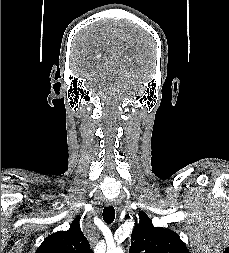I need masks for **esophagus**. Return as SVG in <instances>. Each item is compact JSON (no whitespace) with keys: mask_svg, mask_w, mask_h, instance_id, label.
I'll return each instance as SVG.
<instances>
[{"mask_svg":"<svg viewBox=\"0 0 229 253\" xmlns=\"http://www.w3.org/2000/svg\"><path fill=\"white\" fill-rule=\"evenodd\" d=\"M106 205L107 206H117V202L115 200H107Z\"/></svg>","mask_w":229,"mask_h":253,"instance_id":"obj_1","label":"esophagus"}]
</instances>
